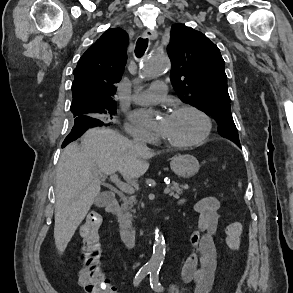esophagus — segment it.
<instances>
[{
    "label": "esophagus",
    "mask_w": 293,
    "mask_h": 293,
    "mask_svg": "<svg viewBox=\"0 0 293 293\" xmlns=\"http://www.w3.org/2000/svg\"><path fill=\"white\" fill-rule=\"evenodd\" d=\"M142 37L154 40L157 38V32L155 30H146L145 32H143Z\"/></svg>",
    "instance_id": "esophagus-1"
}]
</instances>
